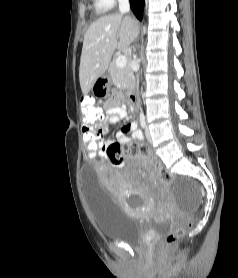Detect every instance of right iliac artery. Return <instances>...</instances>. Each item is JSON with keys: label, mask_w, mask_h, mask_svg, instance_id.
Returning <instances> with one entry per match:
<instances>
[{"label": "right iliac artery", "mask_w": 238, "mask_h": 278, "mask_svg": "<svg viewBox=\"0 0 238 278\" xmlns=\"http://www.w3.org/2000/svg\"><path fill=\"white\" fill-rule=\"evenodd\" d=\"M140 123H141V127L142 129L146 128V121H145V117L143 114H140Z\"/></svg>", "instance_id": "right-iliac-artery-1"}]
</instances>
